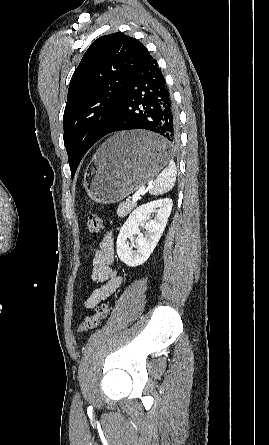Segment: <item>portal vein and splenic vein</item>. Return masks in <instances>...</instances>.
<instances>
[{
  "instance_id": "1",
  "label": "portal vein and splenic vein",
  "mask_w": 269,
  "mask_h": 445,
  "mask_svg": "<svg viewBox=\"0 0 269 445\" xmlns=\"http://www.w3.org/2000/svg\"><path fill=\"white\" fill-rule=\"evenodd\" d=\"M145 190V186L140 188L133 196H132V201L136 202L139 199L140 194Z\"/></svg>"
}]
</instances>
